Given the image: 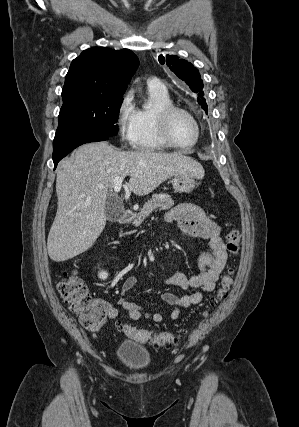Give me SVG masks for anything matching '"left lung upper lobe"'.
<instances>
[{"label":"left lung upper lobe","instance_id":"5c2ea615","mask_svg":"<svg viewBox=\"0 0 299 427\" xmlns=\"http://www.w3.org/2000/svg\"><path fill=\"white\" fill-rule=\"evenodd\" d=\"M159 62L161 64L166 63L170 70L183 80L193 92L198 93L200 97L198 103L201 105L202 109L207 112L208 107L205 99L202 98L204 93L201 91L203 89V82L198 69L188 61L179 59L178 56L175 55H167L166 57L160 55Z\"/></svg>","mask_w":299,"mask_h":427}]
</instances>
